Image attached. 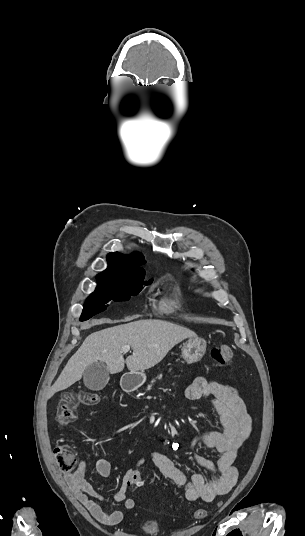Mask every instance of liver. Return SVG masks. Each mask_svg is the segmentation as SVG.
<instances>
[{
  "label": "liver",
  "mask_w": 305,
  "mask_h": 536,
  "mask_svg": "<svg viewBox=\"0 0 305 536\" xmlns=\"http://www.w3.org/2000/svg\"><path fill=\"white\" fill-rule=\"evenodd\" d=\"M134 318L139 316L126 318V322ZM101 324H115V322L101 320ZM186 338H196L195 332L163 320H138L94 332L87 336L76 354L68 360L58 380L49 388L46 398L49 400L56 392L66 390L81 380L84 370L94 362H105L110 374L122 372L125 364L130 372L149 370L159 364L169 350ZM123 346H130L133 350L132 356H128L126 360L123 358Z\"/></svg>",
  "instance_id": "obj_1"
}]
</instances>
